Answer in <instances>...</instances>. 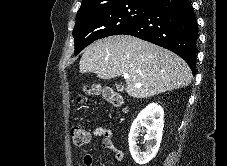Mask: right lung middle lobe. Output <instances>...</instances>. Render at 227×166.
Segmentation results:
<instances>
[{
	"instance_id": "1",
	"label": "right lung middle lobe",
	"mask_w": 227,
	"mask_h": 166,
	"mask_svg": "<svg viewBox=\"0 0 227 166\" xmlns=\"http://www.w3.org/2000/svg\"><path fill=\"white\" fill-rule=\"evenodd\" d=\"M150 8L145 4L126 3L77 14L73 30L75 55L95 40L118 34L141 19Z\"/></svg>"
}]
</instances>
